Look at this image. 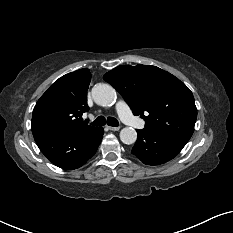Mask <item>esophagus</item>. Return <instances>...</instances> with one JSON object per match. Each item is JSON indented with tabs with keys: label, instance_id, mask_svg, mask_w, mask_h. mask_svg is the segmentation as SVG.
Returning a JSON list of instances; mask_svg holds the SVG:
<instances>
[{
	"label": "esophagus",
	"instance_id": "34e87169",
	"mask_svg": "<svg viewBox=\"0 0 233 233\" xmlns=\"http://www.w3.org/2000/svg\"><path fill=\"white\" fill-rule=\"evenodd\" d=\"M108 129L111 131H119L120 127L119 126H108Z\"/></svg>",
	"mask_w": 233,
	"mask_h": 233
}]
</instances>
